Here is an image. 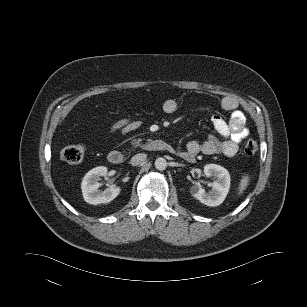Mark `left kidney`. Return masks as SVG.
I'll return each instance as SVG.
<instances>
[{
  "label": "left kidney",
  "mask_w": 307,
  "mask_h": 307,
  "mask_svg": "<svg viewBox=\"0 0 307 307\" xmlns=\"http://www.w3.org/2000/svg\"><path fill=\"white\" fill-rule=\"evenodd\" d=\"M204 174L207 177L216 178L211 183L212 190L209 193L202 187L193 186L190 192L194 198L207 206H218L225 200L230 188V175L227 169L217 164L204 166Z\"/></svg>",
  "instance_id": "left-kidney-1"
}]
</instances>
